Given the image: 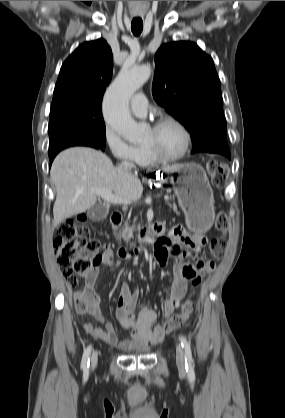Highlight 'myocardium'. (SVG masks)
<instances>
[{
    "instance_id": "1",
    "label": "myocardium",
    "mask_w": 285,
    "mask_h": 418,
    "mask_svg": "<svg viewBox=\"0 0 285 418\" xmlns=\"http://www.w3.org/2000/svg\"><path fill=\"white\" fill-rule=\"evenodd\" d=\"M167 124H172L175 125L176 127H178L183 136H184V145L182 150L175 156H171V157H166L161 155L157 150H155L154 148H152L151 146L148 145H144V148L147 152V154L156 162H160V163H171V162H175L178 161L182 158H184L186 156V154L188 153L189 149H190V145H191V135L189 130L187 129V127L179 120H177L176 118L167 116V117H163L160 118L159 120H157L152 128L153 130H158L160 129L162 126L167 125Z\"/></svg>"
}]
</instances>
